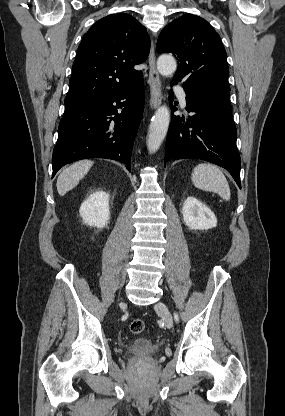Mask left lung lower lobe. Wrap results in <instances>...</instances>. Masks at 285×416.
Returning a JSON list of instances; mask_svg holds the SVG:
<instances>
[{"mask_svg":"<svg viewBox=\"0 0 285 416\" xmlns=\"http://www.w3.org/2000/svg\"><path fill=\"white\" fill-rule=\"evenodd\" d=\"M173 98L171 91L170 102ZM186 103V110L193 115L189 116L185 124L184 118L172 115L164 166L169 160H206L224 167L241 188L240 155L236 147L237 130L231 108L194 100L188 96Z\"/></svg>","mask_w":285,"mask_h":416,"instance_id":"obj_1","label":"left lung lower lobe"}]
</instances>
